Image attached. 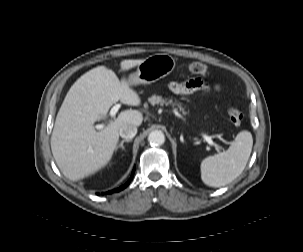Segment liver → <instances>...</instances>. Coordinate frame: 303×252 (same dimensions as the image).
<instances>
[{
	"instance_id": "6515ba94",
	"label": "liver",
	"mask_w": 303,
	"mask_h": 252,
	"mask_svg": "<svg viewBox=\"0 0 303 252\" xmlns=\"http://www.w3.org/2000/svg\"><path fill=\"white\" fill-rule=\"evenodd\" d=\"M143 60H123L120 69L127 71ZM130 86L128 80H119L105 66L89 70L71 86L51 136L52 154L66 178L78 181L107 165L116 150L120 128L142 124L140 111L125 110L100 131L94 129V122L106 120L110 107L119 100L132 106L141 104L140 97Z\"/></svg>"
}]
</instances>
